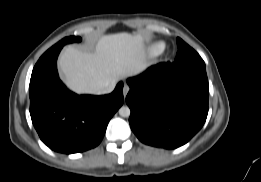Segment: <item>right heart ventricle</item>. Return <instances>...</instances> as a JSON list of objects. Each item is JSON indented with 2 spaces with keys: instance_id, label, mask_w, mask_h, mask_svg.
<instances>
[{
  "instance_id": "right-heart-ventricle-1",
  "label": "right heart ventricle",
  "mask_w": 261,
  "mask_h": 182,
  "mask_svg": "<svg viewBox=\"0 0 261 182\" xmlns=\"http://www.w3.org/2000/svg\"><path fill=\"white\" fill-rule=\"evenodd\" d=\"M164 47L165 45L162 42L155 43L151 46L150 53L153 55H157L163 51Z\"/></svg>"
}]
</instances>
